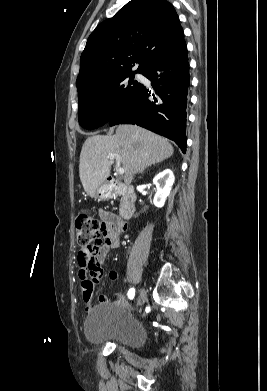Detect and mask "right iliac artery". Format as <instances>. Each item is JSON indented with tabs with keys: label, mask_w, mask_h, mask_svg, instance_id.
I'll return each mask as SVG.
<instances>
[{
	"label": "right iliac artery",
	"mask_w": 267,
	"mask_h": 391,
	"mask_svg": "<svg viewBox=\"0 0 267 391\" xmlns=\"http://www.w3.org/2000/svg\"><path fill=\"white\" fill-rule=\"evenodd\" d=\"M134 295H135V290L132 288L128 291V297L130 299H133L134 298Z\"/></svg>",
	"instance_id": "1"
}]
</instances>
